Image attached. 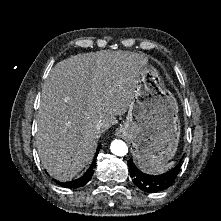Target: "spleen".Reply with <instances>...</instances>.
<instances>
[{"label": "spleen", "mask_w": 221, "mask_h": 221, "mask_svg": "<svg viewBox=\"0 0 221 221\" xmlns=\"http://www.w3.org/2000/svg\"><path fill=\"white\" fill-rule=\"evenodd\" d=\"M173 165H174V162L172 161V162H170V163H168V164H166V165H163V166L159 167L158 169L155 170V172H157V173H162V172H164L165 170L171 168Z\"/></svg>", "instance_id": "1"}]
</instances>
